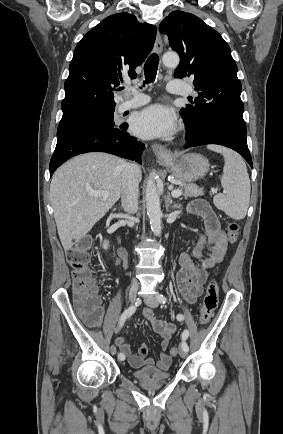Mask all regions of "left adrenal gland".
Masks as SVG:
<instances>
[{
  "instance_id": "1",
  "label": "left adrenal gland",
  "mask_w": 283,
  "mask_h": 434,
  "mask_svg": "<svg viewBox=\"0 0 283 434\" xmlns=\"http://www.w3.org/2000/svg\"><path fill=\"white\" fill-rule=\"evenodd\" d=\"M171 204H172V199H171V196L168 194L167 200H166V208L167 209L169 207L172 208V209H178V208H180V205H177V204L171 205Z\"/></svg>"
}]
</instances>
